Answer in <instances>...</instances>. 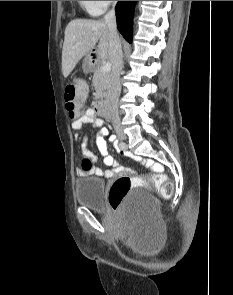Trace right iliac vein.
<instances>
[{"instance_id": "63e3f726", "label": "right iliac vein", "mask_w": 233, "mask_h": 295, "mask_svg": "<svg viewBox=\"0 0 233 295\" xmlns=\"http://www.w3.org/2000/svg\"><path fill=\"white\" fill-rule=\"evenodd\" d=\"M115 131H116L117 135L119 136V138L124 139V140L126 139V135H125V133L123 132L122 128L119 125H117L115 127Z\"/></svg>"}]
</instances>
